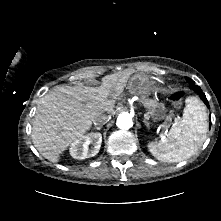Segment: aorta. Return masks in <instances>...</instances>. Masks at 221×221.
I'll return each mask as SVG.
<instances>
[{
    "instance_id": "obj_1",
    "label": "aorta",
    "mask_w": 221,
    "mask_h": 221,
    "mask_svg": "<svg viewBox=\"0 0 221 221\" xmlns=\"http://www.w3.org/2000/svg\"><path fill=\"white\" fill-rule=\"evenodd\" d=\"M116 125L122 130H128L133 126V120L129 113L123 112L119 114Z\"/></svg>"
}]
</instances>
